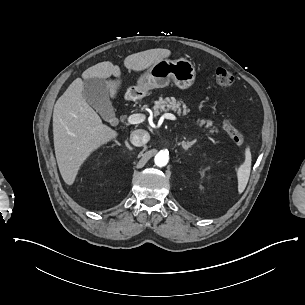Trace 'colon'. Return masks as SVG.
<instances>
[{"label":"colon","instance_id":"colon-1","mask_svg":"<svg viewBox=\"0 0 305 305\" xmlns=\"http://www.w3.org/2000/svg\"><path fill=\"white\" fill-rule=\"evenodd\" d=\"M215 79L220 87H229L233 83V76L231 72L224 68H219L216 70ZM222 127L226 134L234 142L243 143L246 141V135L236 128L229 119L224 118L222 120Z\"/></svg>","mask_w":305,"mask_h":305}]
</instances>
